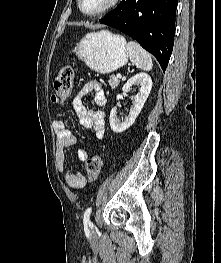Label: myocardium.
Returning <instances> with one entry per match:
<instances>
[{
	"label": "myocardium",
	"mask_w": 221,
	"mask_h": 263,
	"mask_svg": "<svg viewBox=\"0 0 221 263\" xmlns=\"http://www.w3.org/2000/svg\"><path fill=\"white\" fill-rule=\"evenodd\" d=\"M120 2L121 0H109L101 9L95 12H87L83 9L82 0H78V8L86 16L98 17L114 9Z\"/></svg>",
	"instance_id": "myocardium-1"
}]
</instances>
